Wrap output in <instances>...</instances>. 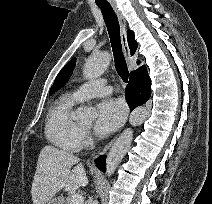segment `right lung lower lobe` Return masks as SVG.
Listing matches in <instances>:
<instances>
[{
  "label": "right lung lower lobe",
  "mask_w": 212,
  "mask_h": 204,
  "mask_svg": "<svg viewBox=\"0 0 212 204\" xmlns=\"http://www.w3.org/2000/svg\"><path fill=\"white\" fill-rule=\"evenodd\" d=\"M150 95V79L145 66H142L130 73L129 83L126 87V101L130 109L133 110L135 107L144 104ZM95 163L100 170L106 171L104 156L98 157Z\"/></svg>",
  "instance_id": "98d812e1"
}]
</instances>
